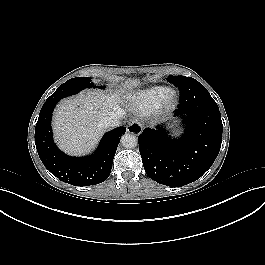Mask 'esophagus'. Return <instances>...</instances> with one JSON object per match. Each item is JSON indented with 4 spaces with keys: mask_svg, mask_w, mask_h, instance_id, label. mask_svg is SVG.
<instances>
[{
    "mask_svg": "<svg viewBox=\"0 0 265 265\" xmlns=\"http://www.w3.org/2000/svg\"><path fill=\"white\" fill-rule=\"evenodd\" d=\"M142 127L140 122L132 121L129 123L127 131L133 134H140L142 132Z\"/></svg>",
    "mask_w": 265,
    "mask_h": 265,
    "instance_id": "obj_1",
    "label": "esophagus"
}]
</instances>
